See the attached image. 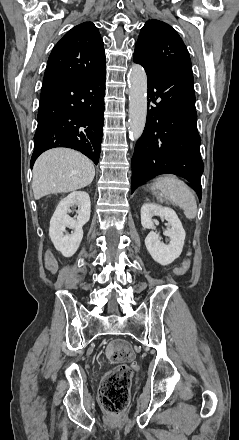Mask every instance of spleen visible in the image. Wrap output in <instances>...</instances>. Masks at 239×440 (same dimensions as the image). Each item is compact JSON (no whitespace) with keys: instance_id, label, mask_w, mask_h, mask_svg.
Listing matches in <instances>:
<instances>
[{"instance_id":"obj_1","label":"spleen","mask_w":239,"mask_h":440,"mask_svg":"<svg viewBox=\"0 0 239 440\" xmlns=\"http://www.w3.org/2000/svg\"><path fill=\"white\" fill-rule=\"evenodd\" d=\"M156 190H160L157 200L163 202L165 200H171L176 206H179L181 210H184V214L188 220L196 218L197 204L195 200V192L186 186L182 180H178L176 176L167 174L163 178H157L155 184H153Z\"/></svg>"}]
</instances>
